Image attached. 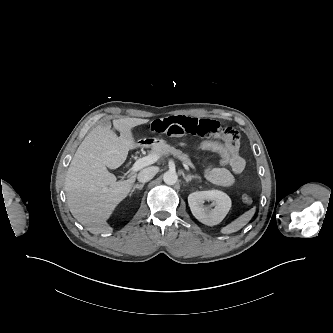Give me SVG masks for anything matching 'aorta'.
<instances>
[{
	"label": "aorta",
	"mask_w": 333,
	"mask_h": 333,
	"mask_svg": "<svg viewBox=\"0 0 333 333\" xmlns=\"http://www.w3.org/2000/svg\"><path fill=\"white\" fill-rule=\"evenodd\" d=\"M163 180L167 185H174L178 180V175L174 171H167L163 175Z\"/></svg>",
	"instance_id": "aorta-1"
}]
</instances>
